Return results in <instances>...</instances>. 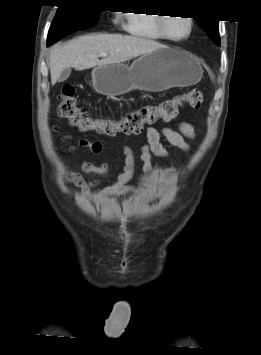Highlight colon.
Listing matches in <instances>:
<instances>
[{
  "instance_id": "1",
  "label": "colon",
  "mask_w": 261,
  "mask_h": 355,
  "mask_svg": "<svg viewBox=\"0 0 261 355\" xmlns=\"http://www.w3.org/2000/svg\"><path fill=\"white\" fill-rule=\"evenodd\" d=\"M74 93L72 86H63L60 94V116L80 131L107 136L138 134L158 121H172L184 107L199 108L204 101L202 92L195 88L158 104L140 107L123 118L114 120L91 117L77 102Z\"/></svg>"
}]
</instances>
